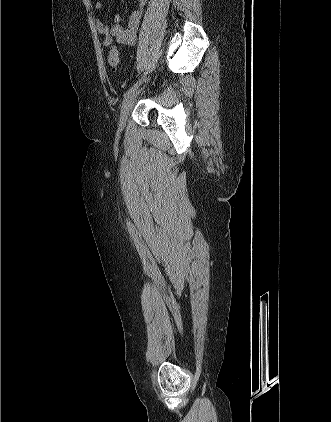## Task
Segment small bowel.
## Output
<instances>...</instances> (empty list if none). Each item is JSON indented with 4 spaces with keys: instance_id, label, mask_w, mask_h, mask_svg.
Here are the masks:
<instances>
[{
    "instance_id": "small-bowel-1",
    "label": "small bowel",
    "mask_w": 331,
    "mask_h": 422,
    "mask_svg": "<svg viewBox=\"0 0 331 422\" xmlns=\"http://www.w3.org/2000/svg\"><path fill=\"white\" fill-rule=\"evenodd\" d=\"M146 3L147 0H138L136 9L129 17L127 28L121 24V17L118 13L114 16V24L112 26H109L100 19L97 20L96 30L98 34L104 36L102 42L104 47L110 49V52L118 53V46L128 47L135 43L136 32L141 23ZM94 7L99 10L102 8V3L97 1L95 2ZM113 41H115L117 45H113Z\"/></svg>"
}]
</instances>
